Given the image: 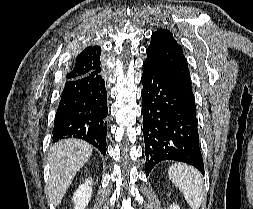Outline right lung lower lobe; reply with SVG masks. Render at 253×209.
Instances as JSON below:
<instances>
[{"instance_id": "right-lung-lower-lobe-1", "label": "right lung lower lobe", "mask_w": 253, "mask_h": 209, "mask_svg": "<svg viewBox=\"0 0 253 209\" xmlns=\"http://www.w3.org/2000/svg\"><path fill=\"white\" fill-rule=\"evenodd\" d=\"M107 93L102 70L68 80L56 112L53 142L78 138L106 154Z\"/></svg>"}]
</instances>
